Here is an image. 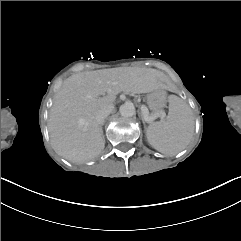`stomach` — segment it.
<instances>
[{"label":"stomach","instance_id":"1","mask_svg":"<svg viewBox=\"0 0 241 241\" xmlns=\"http://www.w3.org/2000/svg\"><path fill=\"white\" fill-rule=\"evenodd\" d=\"M147 104L150 110L160 111L166 106V93L163 90H156L147 95Z\"/></svg>","mask_w":241,"mask_h":241}]
</instances>
